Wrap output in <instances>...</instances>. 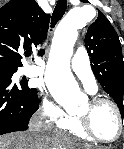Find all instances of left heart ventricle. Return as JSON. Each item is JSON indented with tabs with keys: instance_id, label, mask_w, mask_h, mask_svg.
<instances>
[{
	"instance_id": "b2bd125f",
	"label": "left heart ventricle",
	"mask_w": 124,
	"mask_h": 149,
	"mask_svg": "<svg viewBox=\"0 0 124 149\" xmlns=\"http://www.w3.org/2000/svg\"><path fill=\"white\" fill-rule=\"evenodd\" d=\"M90 118L91 126L95 133L104 139H114L119 131L118 121L114 110L109 105L91 107L87 102L79 111Z\"/></svg>"
}]
</instances>
